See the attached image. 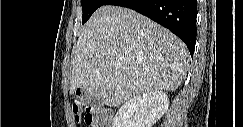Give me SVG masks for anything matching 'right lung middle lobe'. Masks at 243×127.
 <instances>
[{"mask_svg":"<svg viewBox=\"0 0 243 127\" xmlns=\"http://www.w3.org/2000/svg\"><path fill=\"white\" fill-rule=\"evenodd\" d=\"M107 0H81L83 10L82 24H84L96 9L104 5Z\"/></svg>","mask_w":243,"mask_h":127,"instance_id":"right-lung-middle-lobe-1","label":"right lung middle lobe"}]
</instances>
